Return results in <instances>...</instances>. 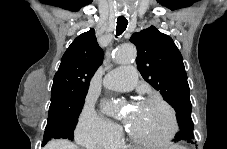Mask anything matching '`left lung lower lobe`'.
Instances as JSON below:
<instances>
[{
    "instance_id": "0a47b994",
    "label": "left lung lower lobe",
    "mask_w": 227,
    "mask_h": 149,
    "mask_svg": "<svg viewBox=\"0 0 227 149\" xmlns=\"http://www.w3.org/2000/svg\"><path fill=\"white\" fill-rule=\"evenodd\" d=\"M175 142H186V143H191V144H196V142L193 139H189V140H175Z\"/></svg>"
}]
</instances>
